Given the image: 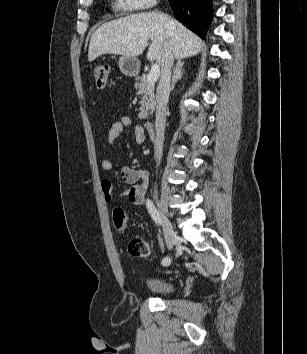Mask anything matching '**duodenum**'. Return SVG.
<instances>
[{
  "mask_svg": "<svg viewBox=\"0 0 307 354\" xmlns=\"http://www.w3.org/2000/svg\"><path fill=\"white\" fill-rule=\"evenodd\" d=\"M144 128L147 131V133L150 135L152 139L155 137V132H154V123L152 121H146L144 123Z\"/></svg>",
  "mask_w": 307,
  "mask_h": 354,
  "instance_id": "1",
  "label": "duodenum"
}]
</instances>
